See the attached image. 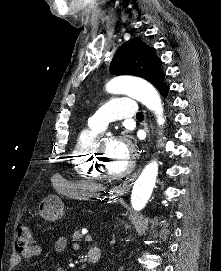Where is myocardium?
Here are the masks:
<instances>
[{"instance_id": "1", "label": "myocardium", "mask_w": 221, "mask_h": 271, "mask_svg": "<svg viewBox=\"0 0 221 271\" xmlns=\"http://www.w3.org/2000/svg\"><path fill=\"white\" fill-rule=\"evenodd\" d=\"M117 141H123V138H117ZM100 150H107V145H100ZM98 172H101L102 178L108 179H126V175H129L130 172H135L137 170V165H134L136 162L135 158H130L129 161L126 162V167L124 170H120L119 173H112L111 170H108L106 167V158H99L98 160Z\"/></svg>"}]
</instances>
